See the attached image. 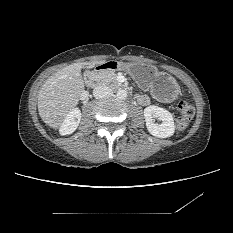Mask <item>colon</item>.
Masks as SVG:
<instances>
[{
    "mask_svg": "<svg viewBox=\"0 0 233 233\" xmlns=\"http://www.w3.org/2000/svg\"><path fill=\"white\" fill-rule=\"evenodd\" d=\"M178 111L180 115L176 119V130L182 132L187 128L189 121L194 115L195 109L192 104L186 101H180L178 104Z\"/></svg>",
    "mask_w": 233,
    "mask_h": 233,
    "instance_id": "5ec220e1",
    "label": "colon"
}]
</instances>
